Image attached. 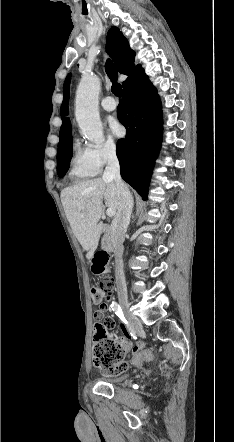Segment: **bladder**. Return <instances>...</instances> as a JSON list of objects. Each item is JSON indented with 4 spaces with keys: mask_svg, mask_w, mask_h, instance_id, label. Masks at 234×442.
Segmentation results:
<instances>
[{
    "mask_svg": "<svg viewBox=\"0 0 234 442\" xmlns=\"http://www.w3.org/2000/svg\"><path fill=\"white\" fill-rule=\"evenodd\" d=\"M121 380L120 377L102 378L101 381L108 384H115Z\"/></svg>",
    "mask_w": 234,
    "mask_h": 442,
    "instance_id": "obj_1",
    "label": "bladder"
}]
</instances>
